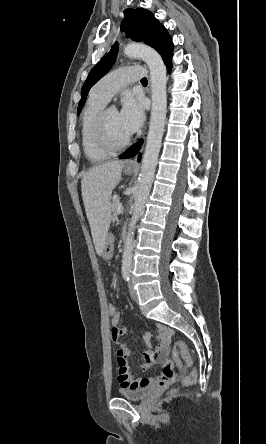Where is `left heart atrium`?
I'll return each mask as SVG.
<instances>
[{
  "label": "left heart atrium",
  "instance_id": "39dd6f15",
  "mask_svg": "<svg viewBox=\"0 0 266 444\" xmlns=\"http://www.w3.org/2000/svg\"><path fill=\"white\" fill-rule=\"evenodd\" d=\"M143 119L144 113L141 103L132 98L125 99L119 112V120L129 135L140 128Z\"/></svg>",
  "mask_w": 266,
  "mask_h": 444
}]
</instances>
